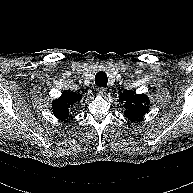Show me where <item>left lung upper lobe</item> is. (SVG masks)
Returning a JSON list of instances; mask_svg holds the SVG:
<instances>
[{
  "instance_id": "left-lung-upper-lobe-1",
  "label": "left lung upper lobe",
  "mask_w": 193,
  "mask_h": 193,
  "mask_svg": "<svg viewBox=\"0 0 193 193\" xmlns=\"http://www.w3.org/2000/svg\"><path fill=\"white\" fill-rule=\"evenodd\" d=\"M119 100L124 103V115L130 120H137L149 111V98L135 91H127L120 95Z\"/></svg>"
}]
</instances>
